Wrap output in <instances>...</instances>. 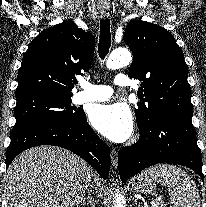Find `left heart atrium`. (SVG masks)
<instances>
[{
    "instance_id": "39dd6f15",
    "label": "left heart atrium",
    "mask_w": 206,
    "mask_h": 207,
    "mask_svg": "<svg viewBox=\"0 0 206 207\" xmlns=\"http://www.w3.org/2000/svg\"><path fill=\"white\" fill-rule=\"evenodd\" d=\"M89 121L103 136L117 143L128 140L134 129L130 110L120 103L93 106Z\"/></svg>"
}]
</instances>
